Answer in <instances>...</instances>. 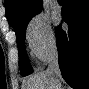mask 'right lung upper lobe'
Masks as SVG:
<instances>
[{
	"instance_id": "cb5924a9",
	"label": "right lung upper lobe",
	"mask_w": 89,
	"mask_h": 89,
	"mask_svg": "<svg viewBox=\"0 0 89 89\" xmlns=\"http://www.w3.org/2000/svg\"><path fill=\"white\" fill-rule=\"evenodd\" d=\"M42 0H5L6 17L14 28L19 22L39 13Z\"/></svg>"
}]
</instances>
